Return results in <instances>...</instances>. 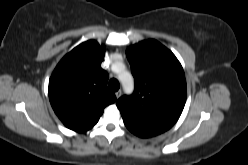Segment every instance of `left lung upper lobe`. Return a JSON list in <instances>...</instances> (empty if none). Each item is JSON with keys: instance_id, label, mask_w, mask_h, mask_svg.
Instances as JSON below:
<instances>
[{"instance_id": "left-lung-upper-lobe-1", "label": "left lung upper lobe", "mask_w": 248, "mask_h": 165, "mask_svg": "<svg viewBox=\"0 0 248 165\" xmlns=\"http://www.w3.org/2000/svg\"><path fill=\"white\" fill-rule=\"evenodd\" d=\"M135 78V91L116 103L123 120L139 129L160 134L180 117L186 101V80L175 55L150 39L126 51Z\"/></svg>"}]
</instances>
